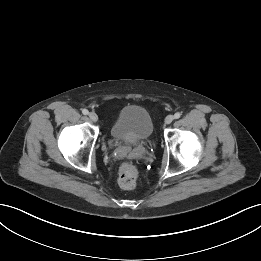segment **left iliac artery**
Instances as JSON below:
<instances>
[{
    "instance_id": "obj_1",
    "label": "left iliac artery",
    "mask_w": 261,
    "mask_h": 261,
    "mask_svg": "<svg viewBox=\"0 0 261 261\" xmlns=\"http://www.w3.org/2000/svg\"><path fill=\"white\" fill-rule=\"evenodd\" d=\"M180 116H181V114H180L179 112H177V113L174 114V118H175V119L180 118Z\"/></svg>"
}]
</instances>
